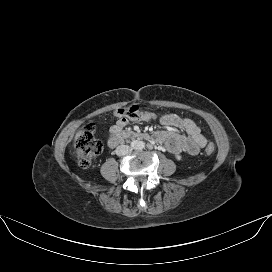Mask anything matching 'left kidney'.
I'll use <instances>...</instances> for the list:
<instances>
[{"instance_id": "left-kidney-1", "label": "left kidney", "mask_w": 272, "mask_h": 272, "mask_svg": "<svg viewBox=\"0 0 272 272\" xmlns=\"http://www.w3.org/2000/svg\"><path fill=\"white\" fill-rule=\"evenodd\" d=\"M176 159H177V160H181V156L177 154V155H176Z\"/></svg>"}]
</instances>
